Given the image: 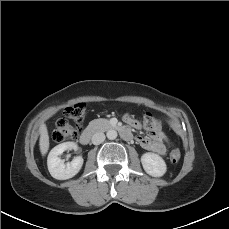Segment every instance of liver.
Returning a JSON list of instances; mask_svg holds the SVG:
<instances>
[{
    "instance_id": "obj_1",
    "label": "liver",
    "mask_w": 229,
    "mask_h": 229,
    "mask_svg": "<svg viewBox=\"0 0 229 229\" xmlns=\"http://www.w3.org/2000/svg\"><path fill=\"white\" fill-rule=\"evenodd\" d=\"M40 139H39V147L42 156H45L49 150V135L46 124L42 123L39 127Z\"/></svg>"
}]
</instances>
